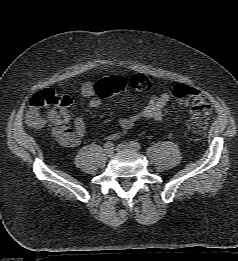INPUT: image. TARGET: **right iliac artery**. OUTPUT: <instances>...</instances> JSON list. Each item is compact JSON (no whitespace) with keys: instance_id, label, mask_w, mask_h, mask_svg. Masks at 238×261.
Here are the masks:
<instances>
[{"instance_id":"right-iliac-artery-1","label":"right iliac artery","mask_w":238,"mask_h":261,"mask_svg":"<svg viewBox=\"0 0 238 261\" xmlns=\"http://www.w3.org/2000/svg\"><path fill=\"white\" fill-rule=\"evenodd\" d=\"M105 149L113 147V143L111 141H108L104 145Z\"/></svg>"}]
</instances>
